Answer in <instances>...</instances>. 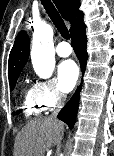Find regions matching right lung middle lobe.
<instances>
[{
  "label": "right lung middle lobe",
  "mask_w": 114,
  "mask_h": 156,
  "mask_svg": "<svg viewBox=\"0 0 114 156\" xmlns=\"http://www.w3.org/2000/svg\"><path fill=\"white\" fill-rule=\"evenodd\" d=\"M18 77H19V75H16V76H13V77H10V78H9V82H10V88H11V90L14 89Z\"/></svg>",
  "instance_id": "dd1d6c3e"
}]
</instances>
